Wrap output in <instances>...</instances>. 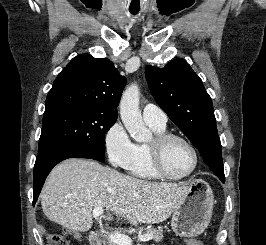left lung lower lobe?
I'll return each mask as SVG.
<instances>
[{"instance_id": "left-lung-lower-lobe-1", "label": "left lung lower lobe", "mask_w": 266, "mask_h": 245, "mask_svg": "<svg viewBox=\"0 0 266 245\" xmlns=\"http://www.w3.org/2000/svg\"><path fill=\"white\" fill-rule=\"evenodd\" d=\"M220 178V177H219ZM220 180L224 183L225 182V177L220 178Z\"/></svg>"}]
</instances>
